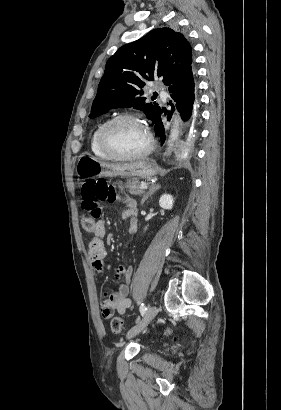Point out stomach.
<instances>
[{"instance_id": "stomach-1", "label": "stomach", "mask_w": 281, "mask_h": 410, "mask_svg": "<svg viewBox=\"0 0 281 410\" xmlns=\"http://www.w3.org/2000/svg\"><path fill=\"white\" fill-rule=\"evenodd\" d=\"M76 174L78 177L87 178L90 176H121L152 178L156 171L148 161H137L126 164H110L101 161L91 155L82 154L76 164Z\"/></svg>"}]
</instances>
